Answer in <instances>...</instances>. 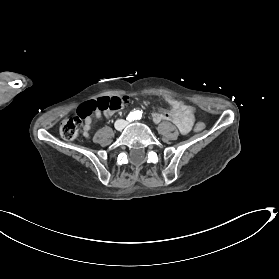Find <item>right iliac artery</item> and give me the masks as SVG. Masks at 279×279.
Returning <instances> with one entry per match:
<instances>
[{
  "instance_id": "82829eb1",
  "label": "right iliac artery",
  "mask_w": 279,
  "mask_h": 279,
  "mask_svg": "<svg viewBox=\"0 0 279 279\" xmlns=\"http://www.w3.org/2000/svg\"><path fill=\"white\" fill-rule=\"evenodd\" d=\"M134 114L133 113H131V114H129L128 115V117H127V121H129V122H131V121H133L134 120Z\"/></svg>"
}]
</instances>
